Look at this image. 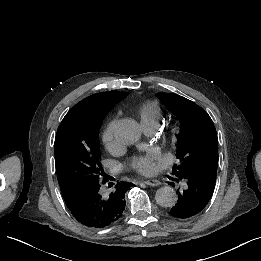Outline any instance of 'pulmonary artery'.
I'll return each instance as SVG.
<instances>
[{
  "mask_svg": "<svg viewBox=\"0 0 261 261\" xmlns=\"http://www.w3.org/2000/svg\"><path fill=\"white\" fill-rule=\"evenodd\" d=\"M143 128L146 130V131H152V130H154V126H150V125H146V126H143Z\"/></svg>",
  "mask_w": 261,
  "mask_h": 261,
  "instance_id": "e3ab8cb5",
  "label": "pulmonary artery"
}]
</instances>
